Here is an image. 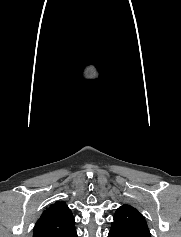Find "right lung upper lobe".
Listing matches in <instances>:
<instances>
[{"instance_id":"1","label":"right lung upper lobe","mask_w":181,"mask_h":237,"mask_svg":"<svg viewBox=\"0 0 181 237\" xmlns=\"http://www.w3.org/2000/svg\"><path fill=\"white\" fill-rule=\"evenodd\" d=\"M75 220L65 202L57 201L46 208L34 227L33 237H72Z\"/></svg>"}]
</instances>
